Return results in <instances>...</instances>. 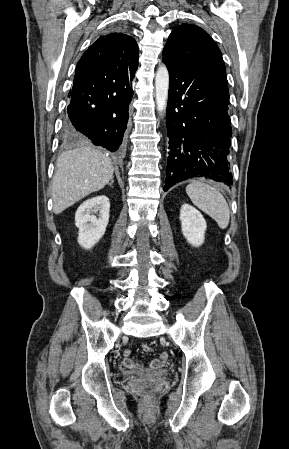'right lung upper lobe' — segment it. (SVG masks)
<instances>
[{"instance_id": "right-lung-upper-lobe-1", "label": "right lung upper lobe", "mask_w": 289, "mask_h": 449, "mask_svg": "<svg viewBox=\"0 0 289 449\" xmlns=\"http://www.w3.org/2000/svg\"><path fill=\"white\" fill-rule=\"evenodd\" d=\"M136 41L123 33H111L98 38L78 61L74 78L88 81H111L133 76L138 67Z\"/></svg>"}]
</instances>
